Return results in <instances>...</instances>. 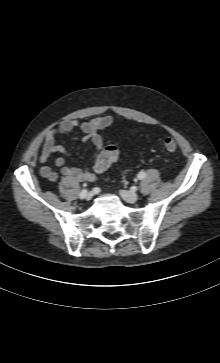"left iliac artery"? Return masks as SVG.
Returning a JSON list of instances; mask_svg holds the SVG:
<instances>
[{"instance_id": "44dca946", "label": "left iliac artery", "mask_w": 220, "mask_h": 363, "mask_svg": "<svg viewBox=\"0 0 220 363\" xmlns=\"http://www.w3.org/2000/svg\"><path fill=\"white\" fill-rule=\"evenodd\" d=\"M137 177H138V179L142 180V179H144L146 177V173L143 172V171H141V172H139V174L137 175Z\"/></svg>"}]
</instances>
